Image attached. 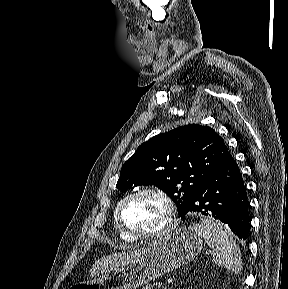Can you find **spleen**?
Here are the masks:
<instances>
[{
    "instance_id": "obj_1",
    "label": "spleen",
    "mask_w": 288,
    "mask_h": 289,
    "mask_svg": "<svg viewBox=\"0 0 288 289\" xmlns=\"http://www.w3.org/2000/svg\"><path fill=\"white\" fill-rule=\"evenodd\" d=\"M213 250V262L221 267L240 274L242 259L239 246L232 238L228 228L210 218L201 219L192 226Z\"/></svg>"
}]
</instances>
